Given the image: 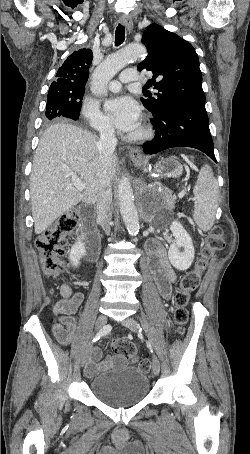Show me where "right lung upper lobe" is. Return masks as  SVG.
Here are the masks:
<instances>
[{"mask_svg":"<svg viewBox=\"0 0 250 454\" xmlns=\"http://www.w3.org/2000/svg\"><path fill=\"white\" fill-rule=\"evenodd\" d=\"M92 59L93 54L90 49L74 51L58 69L57 80L51 84L49 91L73 96L82 91L85 92Z\"/></svg>","mask_w":250,"mask_h":454,"instance_id":"cb5924a9","label":"right lung upper lobe"}]
</instances>
